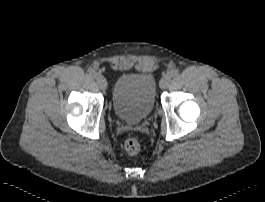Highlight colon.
Here are the masks:
<instances>
[{"instance_id":"obj_1","label":"colon","mask_w":265,"mask_h":202,"mask_svg":"<svg viewBox=\"0 0 265 202\" xmlns=\"http://www.w3.org/2000/svg\"><path fill=\"white\" fill-rule=\"evenodd\" d=\"M124 148L127 153L136 155L140 152L141 149L140 140L136 136L128 137L124 142Z\"/></svg>"}]
</instances>
